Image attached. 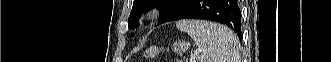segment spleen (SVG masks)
Listing matches in <instances>:
<instances>
[{
  "label": "spleen",
  "instance_id": "1",
  "mask_svg": "<svg viewBox=\"0 0 331 62\" xmlns=\"http://www.w3.org/2000/svg\"><path fill=\"white\" fill-rule=\"evenodd\" d=\"M177 28L201 49L200 62H240L237 37L227 27L204 20H180Z\"/></svg>",
  "mask_w": 331,
  "mask_h": 62
}]
</instances>
